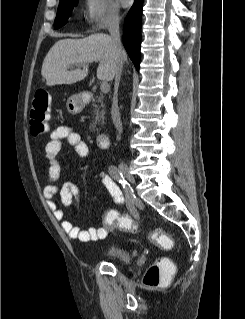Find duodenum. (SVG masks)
<instances>
[{"label":"duodenum","instance_id":"410a0bca","mask_svg":"<svg viewBox=\"0 0 245 319\" xmlns=\"http://www.w3.org/2000/svg\"><path fill=\"white\" fill-rule=\"evenodd\" d=\"M97 144L101 149H109L110 147V136L108 133H100L97 136Z\"/></svg>","mask_w":245,"mask_h":319}]
</instances>
